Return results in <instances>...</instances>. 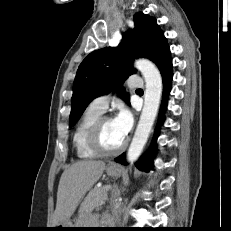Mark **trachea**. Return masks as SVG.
Here are the masks:
<instances>
[{"instance_id":"1","label":"trachea","mask_w":231,"mask_h":231,"mask_svg":"<svg viewBox=\"0 0 231 231\" xmlns=\"http://www.w3.org/2000/svg\"><path fill=\"white\" fill-rule=\"evenodd\" d=\"M137 91H142V89H137Z\"/></svg>"}]
</instances>
